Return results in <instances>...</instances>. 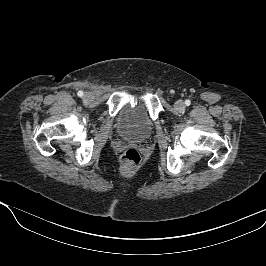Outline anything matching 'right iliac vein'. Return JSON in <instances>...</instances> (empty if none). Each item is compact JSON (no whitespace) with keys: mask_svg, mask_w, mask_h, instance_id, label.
I'll list each match as a JSON object with an SVG mask.
<instances>
[{"mask_svg":"<svg viewBox=\"0 0 266 266\" xmlns=\"http://www.w3.org/2000/svg\"><path fill=\"white\" fill-rule=\"evenodd\" d=\"M84 99H85L86 101H91V100L93 99V95H92L91 93H86V94L84 95Z\"/></svg>","mask_w":266,"mask_h":266,"instance_id":"right-iliac-vein-1","label":"right iliac vein"}]
</instances>
